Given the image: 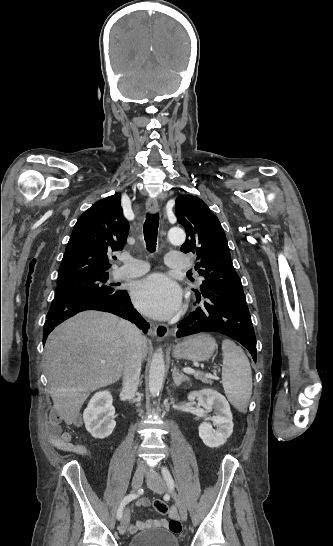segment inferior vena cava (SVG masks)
Returning a JSON list of instances; mask_svg holds the SVG:
<instances>
[{"label":"inferior vena cava","instance_id":"1","mask_svg":"<svg viewBox=\"0 0 333 546\" xmlns=\"http://www.w3.org/2000/svg\"><path fill=\"white\" fill-rule=\"evenodd\" d=\"M124 330L126 353L123 369V394L130 400H134L139 385L141 373L143 336L141 331L127 321H121ZM139 466H143L140 462Z\"/></svg>","mask_w":333,"mask_h":546}]
</instances>
